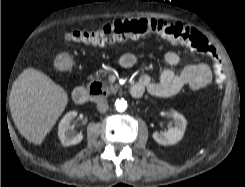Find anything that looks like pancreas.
Wrapping results in <instances>:
<instances>
[{"label": "pancreas", "instance_id": "pancreas-1", "mask_svg": "<svg viewBox=\"0 0 245 187\" xmlns=\"http://www.w3.org/2000/svg\"><path fill=\"white\" fill-rule=\"evenodd\" d=\"M92 81H101L100 76L96 75L94 77H91ZM102 85H103V90L107 93H116L117 90L119 89L118 85H113L112 83L107 82L106 80L102 81Z\"/></svg>", "mask_w": 245, "mask_h": 187}]
</instances>
